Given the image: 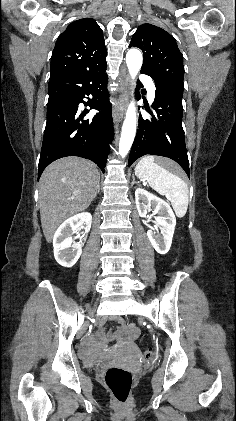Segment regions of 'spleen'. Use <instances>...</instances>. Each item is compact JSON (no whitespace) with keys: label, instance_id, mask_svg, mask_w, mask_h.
Masks as SVG:
<instances>
[{"label":"spleen","instance_id":"obj_1","mask_svg":"<svg viewBox=\"0 0 236 421\" xmlns=\"http://www.w3.org/2000/svg\"><path fill=\"white\" fill-rule=\"evenodd\" d=\"M154 156H143L135 166V174L142 180H147L150 186L165 194L170 200L176 217H185L188 208L189 190L185 180L161 166Z\"/></svg>","mask_w":236,"mask_h":421}]
</instances>
